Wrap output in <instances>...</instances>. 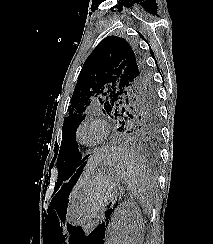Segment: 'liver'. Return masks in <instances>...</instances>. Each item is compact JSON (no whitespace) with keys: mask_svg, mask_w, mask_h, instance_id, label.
I'll return each instance as SVG.
<instances>
[{"mask_svg":"<svg viewBox=\"0 0 213 244\" xmlns=\"http://www.w3.org/2000/svg\"><path fill=\"white\" fill-rule=\"evenodd\" d=\"M109 158V153H100V154H96V155H93L91 157V159H89L88 161V164L86 166V170H85V173L83 175V178H81L79 184L77 185L76 189L81 186L85 179L88 177V174L91 172V171H94L95 167L98 165V164H101L103 162H105L107 159Z\"/></svg>","mask_w":213,"mask_h":244,"instance_id":"liver-1","label":"liver"}]
</instances>
